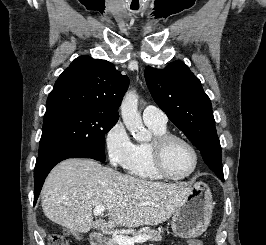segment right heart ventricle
I'll list each match as a JSON object with an SVG mask.
<instances>
[{
    "mask_svg": "<svg viewBox=\"0 0 266 245\" xmlns=\"http://www.w3.org/2000/svg\"><path fill=\"white\" fill-rule=\"evenodd\" d=\"M146 124L149 126L154 136L168 133L167 125H161L158 123ZM149 145L150 142H141L136 144V151L129 173L141 181L156 183L161 181L163 178H161L154 169L150 157Z\"/></svg>",
    "mask_w": 266,
    "mask_h": 245,
    "instance_id": "right-heart-ventricle-1",
    "label": "right heart ventricle"
}]
</instances>
